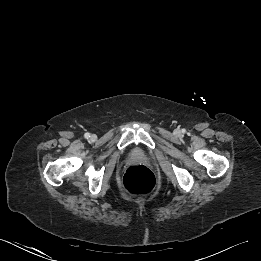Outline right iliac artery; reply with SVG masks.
Wrapping results in <instances>:
<instances>
[{
  "label": "right iliac artery",
  "mask_w": 261,
  "mask_h": 261,
  "mask_svg": "<svg viewBox=\"0 0 261 261\" xmlns=\"http://www.w3.org/2000/svg\"><path fill=\"white\" fill-rule=\"evenodd\" d=\"M84 137L88 139L90 137V134L89 133H85Z\"/></svg>",
  "instance_id": "obj_1"
}]
</instances>
